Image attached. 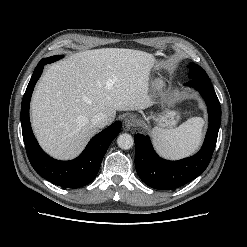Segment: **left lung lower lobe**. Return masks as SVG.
Here are the masks:
<instances>
[{
	"mask_svg": "<svg viewBox=\"0 0 247 247\" xmlns=\"http://www.w3.org/2000/svg\"><path fill=\"white\" fill-rule=\"evenodd\" d=\"M184 85L195 88L204 98L209 114V127L200 151L192 157L178 161L160 158L155 153L148 136L135 135L137 173L146 185L155 189H175L198 177L208 166L216 146L221 123V107L211 82L190 79Z\"/></svg>",
	"mask_w": 247,
	"mask_h": 247,
	"instance_id": "1",
	"label": "left lung lower lobe"
}]
</instances>
